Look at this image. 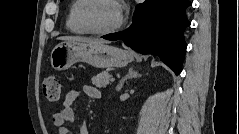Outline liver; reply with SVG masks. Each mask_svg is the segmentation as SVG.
Returning a JSON list of instances; mask_svg holds the SVG:
<instances>
[{
	"mask_svg": "<svg viewBox=\"0 0 239 134\" xmlns=\"http://www.w3.org/2000/svg\"><path fill=\"white\" fill-rule=\"evenodd\" d=\"M59 40L77 41V42H85V43H107V41H104V40H98V39H92V38H86V37H80V36H62L59 38Z\"/></svg>",
	"mask_w": 239,
	"mask_h": 134,
	"instance_id": "1",
	"label": "liver"
}]
</instances>
